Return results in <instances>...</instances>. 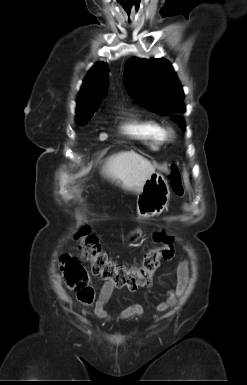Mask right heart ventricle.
Returning a JSON list of instances; mask_svg holds the SVG:
<instances>
[{
  "label": "right heart ventricle",
  "mask_w": 247,
  "mask_h": 385,
  "mask_svg": "<svg viewBox=\"0 0 247 385\" xmlns=\"http://www.w3.org/2000/svg\"><path fill=\"white\" fill-rule=\"evenodd\" d=\"M121 131L136 139L152 150L158 149L164 142L162 127L154 120L130 116L121 126Z\"/></svg>",
  "instance_id": "obj_1"
}]
</instances>
